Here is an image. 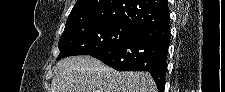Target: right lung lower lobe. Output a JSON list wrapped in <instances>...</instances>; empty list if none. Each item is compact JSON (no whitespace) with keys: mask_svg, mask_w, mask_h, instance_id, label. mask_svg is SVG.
<instances>
[{"mask_svg":"<svg viewBox=\"0 0 225 92\" xmlns=\"http://www.w3.org/2000/svg\"><path fill=\"white\" fill-rule=\"evenodd\" d=\"M170 44L169 22L140 29L138 34L117 46L92 55L118 71H148L159 92H163Z\"/></svg>","mask_w":225,"mask_h":92,"instance_id":"obj_1","label":"right lung lower lobe"}]
</instances>
